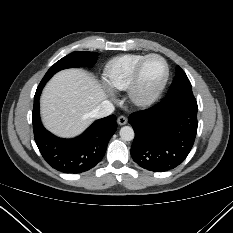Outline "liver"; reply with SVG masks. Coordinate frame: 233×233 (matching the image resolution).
<instances>
[{
	"label": "liver",
	"mask_w": 233,
	"mask_h": 233,
	"mask_svg": "<svg viewBox=\"0 0 233 233\" xmlns=\"http://www.w3.org/2000/svg\"><path fill=\"white\" fill-rule=\"evenodd\" d=\"M105 98V91L93 75L82 69L62 70L43 89L42 122L59 137H75L93 122L89 114Z\"/></svg>",
	"instance_id": "obj_1"
}]
</instances>
